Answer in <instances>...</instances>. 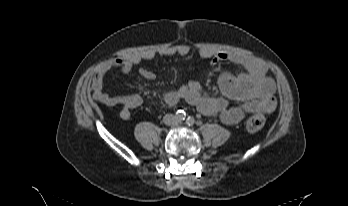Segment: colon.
<instances>
[{"instance_id": "5ec220e1", "label": "colon", "mask_w": 348, "mask_h": 206, "mask_svg": "<svg viewBox=\"0 0 348 206\" xmlns=\"http://www.w3.org/2000/svg\"><path fill=\"white\" fill-rule=\"evenodd\" d=\"M266 118L262 114H253L246 120V128L248 131L255 132L263 128Z\"/></svg>"}]
</instances>
